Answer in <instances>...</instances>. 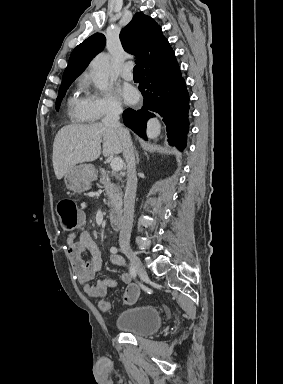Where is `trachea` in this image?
Instances as JSON below:
<instances>
[{"instance_id": "trachea-1", "label": "trachea", "mask_w": 283, "mask_h": 384, "mask_svg": "<svg viewBox=\"0 0 283 384\" xmlns=\"http://www.w3.org/2000/svg\"><path fill=\"white\" fill-rule=\"evenodd\" d=\"M133 74H139V67H138V65H135V67L133 69Z\"/></svg>"}]
</instances>
